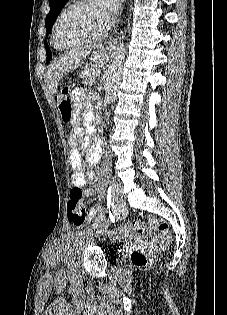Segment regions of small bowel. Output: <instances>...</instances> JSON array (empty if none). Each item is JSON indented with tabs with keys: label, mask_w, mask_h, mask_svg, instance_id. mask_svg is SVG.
Segmentation results:
<instances>
[{
	"label": "small bowel",
	"mask_w": 227,
	"mask_h": 315,
	"mask_svg": "<svg viewBox=\"0 0 227 315\" xmlns=\"http://www.w3.org/2000/svg\"><path fill=\"white\" fill-rule=\"evenodd\" d=\"M87 95L84 89L77 88L73 92L74 99L81 102ZM68 144L71 147L69 152V162L72 168L71 182L74 186L84 187L87 182H92L95 179V173L91 168L84 170L82 157L78 146L87 153L86 164L89 167L95 166L99 160V148L94 145L90 138L83 137V129L80 125L74 124L68 139ZM96 193L95 187L85 188L84 194L87 197H92ZM102 209V208H100ZM99 208L89 210L90 214H99ZM93 219H88V224H93Z\"/></svg>",
	"instance_id": "c3829d8e"
}]
</instances>
